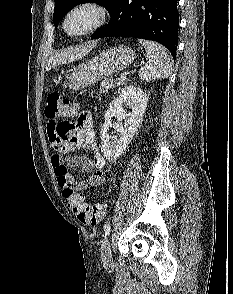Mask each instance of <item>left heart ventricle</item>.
Returning a JSON list of instances; mask_svg holds the SVG:
<instances>
[{"label":"left heart ventricle","instance_id":"1","mask_svg":"<svg viewBox=\"0 0 233 294\" xmlns=\"http://www.w3.org/2000/svg\"><path fill=\"white\" fill-rule=\"evenodd\" d=\"M95 21V13L89 9H81L71 15L67 28L71 33H80L88 29Z\"/></svg>","mask_w":233,"mask_h":294}]
</instances>
